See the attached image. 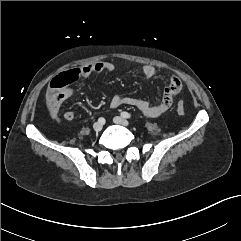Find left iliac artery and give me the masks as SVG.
Instances as JSON below:
<instances>
[{
  "label": "left iliac artery",
  "instance_id": "44dca946",
  "mask_svg": "<svg viewBox=\"0 0 241 241\" xmlns=\"http://www.w3.org/2000/svg\"><path fill=\"white\" fill-rule=\"evenodd\" d=\"M121 116L124 117V118H131V115L128 112H125V111H123L121 113Z\"/></svg>",
  "mask_w": 241,
  "mask_h": 241
}]
</instances>
